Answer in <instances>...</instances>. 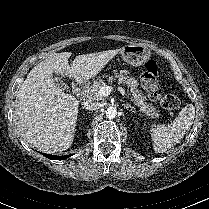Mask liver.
<instances>
[{
  "instance_id": "liver-1",
  "label": "liver",
  "mask_w": 209,
  "mask_h": 209,
  "mask_svg": "<svg viewBox=\"0 0 209 209\" xmlns=\"http://www.w3.org/2000/svg\"><path fill=\"white\" fill-rule=\"evenodd\" d=\"M120 51L78 55L71 66L68 59L72 53H53L37 64L16 94L14 121L23 139L43 152L68 149L74 139L79 101L64 93L54 82L53 73L85 82Z\"/></svg>"
}]
</instances>
